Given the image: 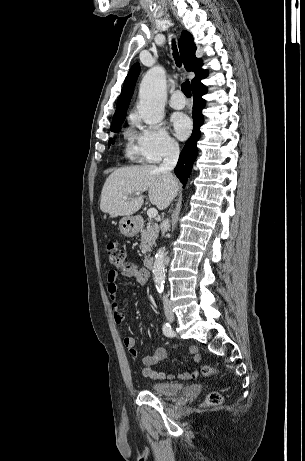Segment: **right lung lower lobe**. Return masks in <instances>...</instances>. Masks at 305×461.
I'll use <instances>...</instances> for the list:
<instances>
[{"mask_svg":"<svg viewBox=\"0 0 305 461\" xmlns=\"http://www.w3.org/2000/svg\"><path fill=\"white\" fill-rule=\"evenodd\" d=\"M192 92L194 97L193 104V132L191 137L186 142L180 157L177 163V166L174 169L176 176L179 180L185 184L187 181L193 162L197 157V147L196 143L200 138V126L203 124L204 118L201 114V110L205 105V100L202 99V96L207 92L205 86L198 82L192 86Z\"/></svg>","mask_w":305,"mask_h":461,"instance_id":"obj_1","label":"right lung lower lobe"}]
</instances>
